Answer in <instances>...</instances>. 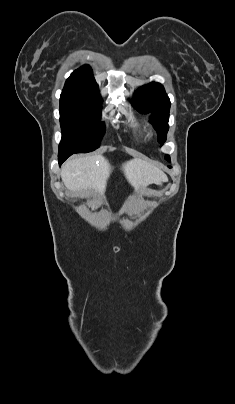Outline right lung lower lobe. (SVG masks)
Masks as SVG:
<instances>
[{
  "instance_id": "1",
  "label": "right lung lower lobe",
  "mask_w": 235,
  "mask_h": 404,
  "mask_svg": "<svg viewBox=\"0 0 235 404\" xmlns=\"http://www.w3.org/2000/svg\"><path fill=\"white\" fill-rule=\"evenodd\" d=\"M72 154H65V155H59L58 157V161H59V165H61L69 156H71Z\"/></svg>"
}]
</instances>
